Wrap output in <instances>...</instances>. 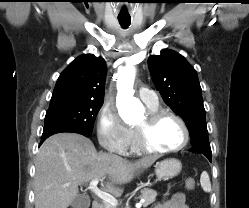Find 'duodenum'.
Here are the masks:
<instances>
[{"mask_svg":"<svg viewBox=\"0 0 249 208\" xmlns=\"http://www.w3.org/2000/svg\"><path fill=\"white\" fill-rule=\"evenodd\" d=\"M100 201L99 199H93L92 203H91V208H100Z\"/></svg>","mask_w":249,"mask_h":208,"instance_id":"duodenum-1","label":"duodenum"}]
</instances>
